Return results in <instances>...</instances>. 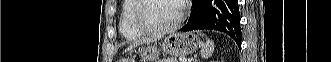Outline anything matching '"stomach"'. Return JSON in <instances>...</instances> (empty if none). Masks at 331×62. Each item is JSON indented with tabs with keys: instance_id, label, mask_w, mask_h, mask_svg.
<instances>
[{
	"instance_id": "1",
	"label": "stomach",
	"mask_w": 331,
	"mask_h": 62,
	"mask_svg": "<svg viewBox=\"0 0 331 62\" xmlns=\"http://www.w3.org/2000/svg\"><path fill=\"white\" fill-rule=\"evenodd\" d=\"M200 46V39L195 34L175 32L165 38L162 50L172 56H185L194 53ZM158 55L159 50L156 45H148L140 51L144 62H154Z\"/></svg>"
}]
</instances>
